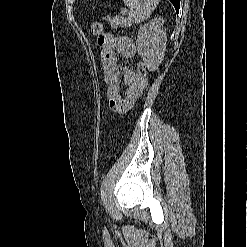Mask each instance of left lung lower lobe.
Masks as SVG:
<instances>
[{"instance_id":"0a47b994","label":"left lung lower lobe","mask_w":248,"mask_h":247,"mask_svg":"<svg viewBox=\"0 0 248 247\" xmlns=\"http://www.w3.org/2000/svg\"><path fill=\"white\" fill-rule=\"evenodd\" d=\"M172 2V4L174 5L176 12H179V8H180V0H170Z\"/></svg>"}]
</instances>
